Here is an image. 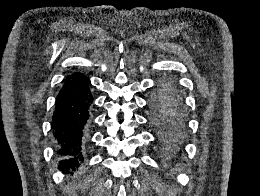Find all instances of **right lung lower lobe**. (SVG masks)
<instances>
[{
	"instance_id": "obj_1",
	"label": "right lung lower lobe",
	"mask_w": 260,
	"mask_h": 196,
	"mask_svg": "<svg viewBox=\"0 0 260 196\" xmlns=\"http://www.w3.org/2000/svg\"><path fill=\"white\" fill-rule=\"evenodd\" d=\"M92 102L90 79L81 73L68 75L57 95L52 117L58 169L63 173L73 175L82 169Z\"/></svg>"
}]
</instances>
